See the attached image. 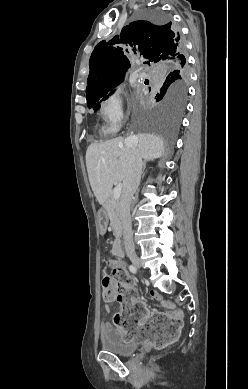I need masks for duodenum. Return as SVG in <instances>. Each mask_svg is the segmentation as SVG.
I'll return each instance as SVG.
<instances>
[{
	"mask_svg": "<svg viewBox=\"0 0 248 389\" xmlns=\"http://www.w3.org/2000/svg\"><path fill=\"white\" fill-rule=\"evenodd\" d=\"M114 253L118 258H122L124 255L123 249H122V244H121L120 234H119L118 239L116 240V242L114 244Z\"/></svg>",
	"mask_w": 248,
	"mask_h": 389,
	"instance_id": "1",
	"label": "duodenum"
}]
</instances>
